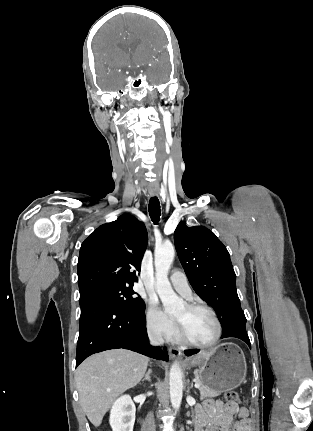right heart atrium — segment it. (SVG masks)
Instances as JSON below:
<instances>
[{"label":"right heart atrium","instance_id":"obj_1","mask_svg":"<svg viewBox=\"0 0 313 431\" xmlns=\"http://www.w3.org/2000/svg\"><path fill=\"white\" fill-rule=\"evenodd\" d=\"M146 325L152 334L162 338H171L176 332L173 321L155 301H151L146 309Z\"/></svg>","mask_w":313,"mask_h":431}]
</instances>
